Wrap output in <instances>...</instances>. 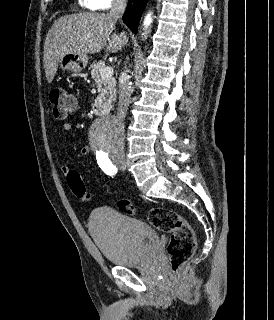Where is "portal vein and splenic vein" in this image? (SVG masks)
<instances>
[{
  "mask_svg": "<svg viewBox=\"0 0 274 320\" xmlns=\"http://www.w3.org/2000/svg\"><path fill=\"white\" fill-rule=\"evenodd\" d=\"M101 78H111L113 76V68H103L100 70Z\"/></svg>",
  "mask_w": 274,
  "mask_h": 320,
  "instance_id": "18ae733b",
  "label": "portal vein and splenic vein"
}]
</instances>
